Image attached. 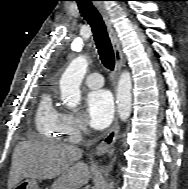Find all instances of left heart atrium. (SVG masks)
I'll list each match as a JSON object with an SVG mask.
<instances>
[{
	"label": "left heart atrium",
	"mask_w": 188,
	"mask_h": 189,
	"mask_svg": "<svg viewBox=\"0 0 188 189\" xmlns=\"http://www.w3.org/2000/svg\"><path fill=\"white\" fill-rule=\"evenodd\" d=\"M89 123L96 129L107 127L114 114V100L108 90H96L87 97Z\"/></svg>",
	"instance_id": "left-heart-atrium-1"
}]
</instances>
